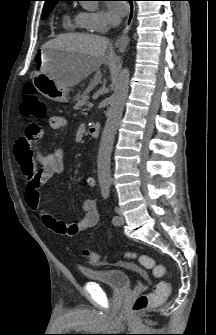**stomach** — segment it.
Segmentation results:
<instances>
[{
  "label": "stomach",
  "instance_id": "stomach-1",
  "mask_svg": "<svg viewBox=\"0 0 216 335\" xmlns=\"http://www.w3.org/2000/svg\"><path fill=\"white\" fill-rule=\"evenodd\" d=\"M74 56V53L66 50L41 48L36 55L40 71L33 78V83L41 94L56 102H69V88L59 83L53 76L67 69Z\"/></svg>",
  "mask_w": 216,
  "mask_h": 335
}]
</instances>
